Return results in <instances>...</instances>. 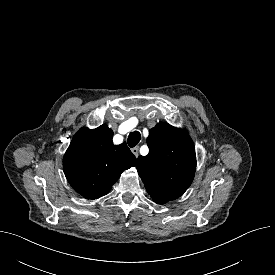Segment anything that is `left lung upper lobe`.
Returning a JSON list of instances; mask_svg holds the SVG:
<instances>
[{
	"label": "left lung upper lobe",
	"mask_w": 275,
	"mask_h": 275,
	"mask_svg": "<svg viewBox=\"0 0 275 275\" xmlns=\"http://www.w3.org/2000/svg\"><path fill=\"white\" fill-rule=\"evenodd\" d=\"M149 153L139 156L137 171L147 192L158 204L180 197L191 185L196 153L191 137L182 129L159 122L147 138Z\"/></svg>",
	"instance_id": "obj_1"
}]
</instances>
